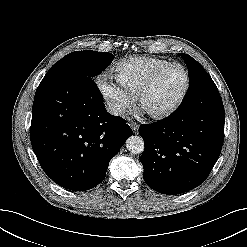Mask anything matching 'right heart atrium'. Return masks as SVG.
I'll return each instance as SVG.
<instances>
[{
  "instance_id": "d8ad5b80",
  "label": "right heart atrium",
  "mask_w": 247,
  "mask_h": 247,
  "mask_svg": "<svg viewBox=\"0 0 247 247\" xmlns=\"http://www.w3.org/2000/svg\"><path fill=\"white\" fill-rule=\"evenodd\" d=\"M100 94L107 104V108L113 115L119 116L132 105L130 97L109 76L103 75L98 80Z\"/></svg>"
}]
</instances>
